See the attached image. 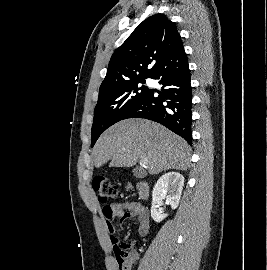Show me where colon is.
I'll return each instance as SVG.
<instances>
[{"label": "colon", "instance_id": "obj_1", "mask_svg": "<svg viewBox=\"0 0 267 270\" xmlns=\"http://www.w3.org/2000/svg\"><path fill=\"white\" fill-rule=\"evenodd\" d=\"M92 185L101 203H107L119 195L118 186L107 177L98 176L94 178ZM130 248L131 245L127 241L114 238V252L120 270H130L134 262L135 257Z\"/></svg>", "mask_w": 267, "mask_h": 270}]
</instances>
